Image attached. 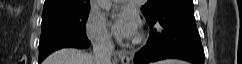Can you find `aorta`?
<instances>
[{
    "mask_svg": "<svg viewBox=\"0 0 242 64\" xmlns=\"http://www.w3.org/2000/svg\"><path fill=\"white\" fill-rule=\"evenodd\" d=\"M97 2L104 11H109L111 9V0H97Z\"/></svg>",
    "mask_w": 242,
    "mask_h": 64,
    "instance_id": "1",
    "label": "aorta"
}]
</instances>
